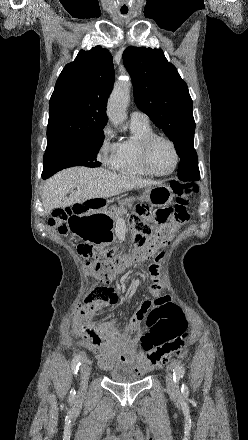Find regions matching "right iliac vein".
Segmentation results:
<instances>
[{
    "label": "right iliac vein",
    "instance_id": "right-iliac-vein-1",
    "mask_svg": "<svg viewBox=\"0 0 248 440\" xmlns=\"http://www.w3.org/2000/svg\"><path fill=\"white\" fill-rule=\"evenodd\" d=\"M81 392H84L91 373V365L88 360H84L81 365Z\"/></svg>",
    "mask_w": 248,
    "mask_h": 440
}]
</instances>
